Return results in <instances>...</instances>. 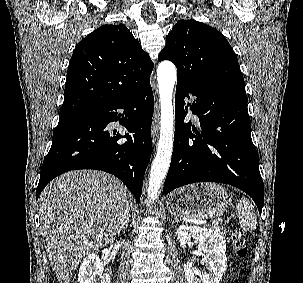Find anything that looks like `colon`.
I'll return each instance as SVG.
<instances>
[{
    "label": "colon",
    "instance_id": "1",
    "mask_svg": "<svg viewBox=\"0 0 303 283\" xmlns=\"http://www.w3.org/2000/svg\"><path fill=\"white\" fill-rule=\"evenodd\" d=\"M232 245L239 257H245L248 252L247 240L240 231L232 234Z\"/></svg>",
    "mask_w": 303,
    "mask_h": 283
}]
</instances>
